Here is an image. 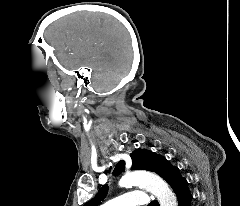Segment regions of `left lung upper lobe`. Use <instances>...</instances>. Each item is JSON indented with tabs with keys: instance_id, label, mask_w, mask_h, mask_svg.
<instances>
[{
	"instance_id": "1",
	"label": "left lung upper lobe",
	"mask_w": 240,
	"mask_h": 206,
	"mask_svg": "<svg viewBox=\"0 0 240 206\" xmlns=\"http://www.w3.org/2000/svg\"><path fill=\"white\" fill-rule=\"evenodd\" d=\"M132 158V170H148L157 173L164 178L167 169L171 166L169 161L164 157L157 155L151 151L136 149L131 155ZM125 167V162L121 160L114 169V174L119 175ZM108 192V186L104 185L99 189L97 195L85 203L84 206H98L101 201L104 200Z\"/></svg>"
}]
</instances>
